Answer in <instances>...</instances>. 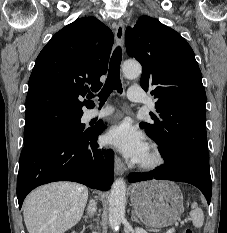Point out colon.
<instances>
[{"label":"colon","instance_id":"colon-1","mask_svg":"<svg viewBox=\"0 0 227 233\" xmlns=\"http://www.w3.org/2000/svg\"><path fill=\"white\" fill-rule=\"evenodd\" d=\"M183 233H194V231L190 228H187V229L183 230Z\"/></svg>","mask_w":227,"mask_h":233}]
</instances>
